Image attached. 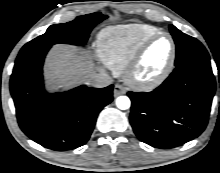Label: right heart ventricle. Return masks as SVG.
<instances>
[{
  "label": "right heart ventricle",
  "mask_w": 220,
  "mask_h": 173,
  "mask_svg": "<svg viewBox=\"0 0 220 173\" xmlns=\"http://www.w3.org/2000/svg\"><path fill=\"white\" fill-rule=\"evenodd\" d=\"M158 32V28L147 24H127L104 29L98 37L101 61L114 73H123L139 45Z\"/></svg>",
  "instance_id": "obj_1"
}]
</instances>
